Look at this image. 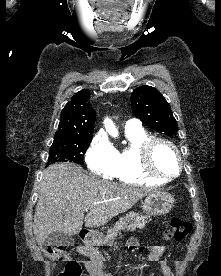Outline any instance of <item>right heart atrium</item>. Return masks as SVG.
<instances>
[{"label":"right heart atrium","instance_id":"obj_1","mask_svg":"<svg viewBox=\"0 0 221 276\" xmlns=\"http://www.w3.org/2000/svg\"><path fill=\"white\" fill-rule=\"evenodd\" d=\"M85 159L92 172L104 178L114 177L117 164V150L105 137L98 135L94 138Z\"/></svg>","mask_w":221,"mask_h":276}]
</instances>
